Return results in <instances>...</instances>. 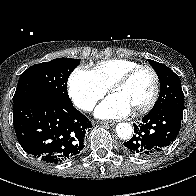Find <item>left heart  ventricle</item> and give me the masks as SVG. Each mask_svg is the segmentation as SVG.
I'll return each instance as SVG.
<instances>
[{"instance_id":"left-heart-ventricle-1","label":"left heart ventricle","mask_w":196,"mask_h":196,"mask_svg":"<svg viewBox=\"0 0 196 196\" xmlns=\"http://www.w3.org/2000/svg\"><path fill=\"white\" fill-rule=\"evenodd\" d=\"M154 79L151 72L143 70L134 76L128 84L112 92V95L125 102L131 110L143 106L151 97Z\"/></svg>"}]
</instances>
